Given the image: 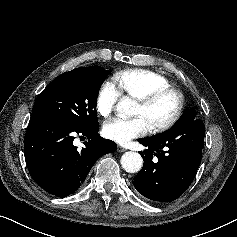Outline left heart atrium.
Returning a JSON list of instances; mask_svg holds the SVG:
<instances>
[{
    "mask_svg": "<svg viewBox=\"0 0 237 237\" xmlns=\"http://www.w3.org/2000/svg\"><path fill=\"white\" fill-rule=\"evenodd\" d=\"M148 130L149 125L140 116L131 119L114 118L103 127L105 137L120 144H127L132 139L145 135Z\"/></svg>",
    "mask_w": 237,
    "mask_h": 237,
    "instance_id": "39dd6f15",
    "label": "left heart atrium"
}]
</instances>
